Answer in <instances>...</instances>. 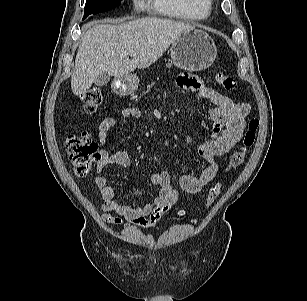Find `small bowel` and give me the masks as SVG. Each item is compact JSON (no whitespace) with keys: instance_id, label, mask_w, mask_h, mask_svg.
<instances>
[{"instance_id":"1","label":"small bowel","mask_w":307,"mask_h":301,"mask_svg":"<svg viewBox=\"0 0 307 301\" xmlns=\"http://www.w3.org/2000/svg\"><path fill=\"white\" fill-rule=\"evenodd\" d=\"M177 85L181 89L192 91L196 98L206 99L213 105L208 111L213 122L212 135L207 142L198 148V153L206 162V167L198 177L185 174L180 178L181 190L194 194L200 192L206 184L215 178L219 170L217 158L226 154L240 141L245 126V117L250 112V105L234 102L229 97L204 85L199 78L193 76H179ZM141 115L139 108L126 107L121 110L118 117L104 118L98 126L99 143L102 146L106 143L108 133L115 129L120 119H137ZM154 160L158 161V158L154 156ZM110 165L128 167L130 160L127 152L123 150L115 152L101 150L99 152L95 184L101 193V206L104 211L102 219L104 222L116 225L128 222L135 227L151 229L177 203L179 193L173 188L171 177L165 171L154 173L151 176V183L159 188V194L153 201L141 206L119 203L114 189L108 185L107 177L103 174Z\"/></svg>"}]
</instances>
